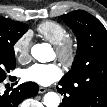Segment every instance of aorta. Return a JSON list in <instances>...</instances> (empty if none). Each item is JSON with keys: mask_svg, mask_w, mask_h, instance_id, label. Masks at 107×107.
Listing matches in <instances>:
<instances>
[{"mask_svg": "<svg viewBox=\"0 0 107 107\" xmlns=\"http://www.w3.org/2000/svg\"><path fill=\"white\" fill-rule=\"evenodd\" d=\"M32 56L39 62H47L49 60V47L47 44H35L31 48ZM43 103L46 107H58L60 97L55 92H48L44 95Z\"/></svg>", "mask_w": 107, "mask_h": 107, "instance_id": "aorta-1", "label": "aorta"}]
</instances>
